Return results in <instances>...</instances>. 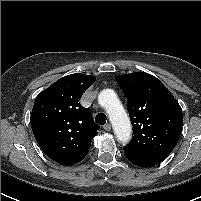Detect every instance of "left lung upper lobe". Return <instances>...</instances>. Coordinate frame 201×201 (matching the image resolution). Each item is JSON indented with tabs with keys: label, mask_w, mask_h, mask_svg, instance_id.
Masks as SVG:
<instances>
[{
	"label": "left lung upper lobe",
	"mask_w": 201,
	"mask_h": 201,
	"mask_svg": "<svg viewBox=\"0 0 201 201\" xmlns=\"http://www.w3.org/2000/svg\"><path fill=\"white\" fill-rule=\"evenodd\" d=\"M127 97L133 137L124 155L133 164L161 163L177 145L182 131V109L156 77L134 72L115 78Z\"/></svg>",
	"instance_id": "5c2ea615"
}]
</instances>
